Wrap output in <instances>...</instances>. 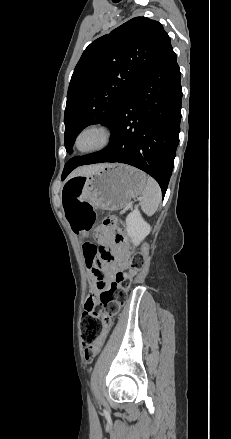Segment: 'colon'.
<instances>
[{"mask_svg": "<svg viewBox=\"0 0 231 439\" xmlns=\"http://www.w3.org/2000/svg\"><path fill=\"white\" fill-rule=\"evenodd\" d=\"M82 188L83 182L81 180L69 181L63 188L65 200L71 201L81 192ZM77 207L78 214L73 217L74 227L77 230H89L96 221L92 208L87 203L78 204ZM112 222V219L105 218L102 226L109 228ZM114 240L116 243L122 244L125 242V237L121 233H116ZM146 249V246H144L141 252L131 254L126 262L121 263L120 270L111 279L109 287L103 289L100 294L101 307L93 306L83 313L81 318V340L88 361L97 355L98 348L95 344L105 338L113 318L118 315L124 305L134 273L143 266ZM98 254L99 250L96 246L93 249H87L85 261L89 268L93 266ZM102 258L107 259L108 256L104 253ZM97 276L101 281L105 280L103 273L98 272Z\"/></svg>", "mask_w": 231, "mask_h": 439, "instance_id": "colon-1", "label": "colon"}]
</instances>
